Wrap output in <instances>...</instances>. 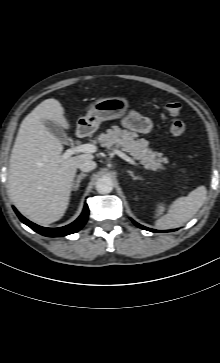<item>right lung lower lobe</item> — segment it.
<instances>
[{"mask_svg":"<svg viewBox=\"0 0 220 363\" xmlns=\"http://www.w3.org/2000/svg\"><path fill=\"white\" fill-rule=\"evenodd\" d=\"M14 210H15L16 214L18 215V217L20 218V220L24 224L29 226L31 229H33L37 233H39L43 236H47V237H60V236H66V235H69L72 233H76L84 226V224L86 223V221L88 219V215H89L88 205L85 204L82 214L73 223H71L67 226H64V227H60V228H45V227H41V226H38V225L30 222L29 220L24 218L15 208H14Z\"/></svg>","mask_w":220,"mask_h":363,"instance_id":"1","label":"right lung lower lobe"}]
</instances>
